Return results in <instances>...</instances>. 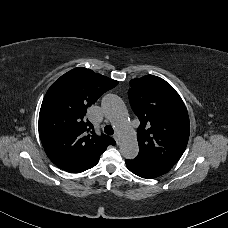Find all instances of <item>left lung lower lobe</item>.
<instances>
[{
	"label": "left lung lower lobe",
	"instance_id": "0a47b994",
	"mask_svg": "<svg viewBox=\"0 0 228 228\" xmlns=\"http://www.w3.org/2000/svg\"><path fill=\"white\" fill-rule=\"evenodd\" d=\"M127 168L134 174L152 179L167 173L172 166L155 162L146 158L137 156L133 160H126Z\"/></svg>",
	"mask_w": 228,
	"mask_h": 228
}]
</instances>
